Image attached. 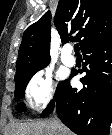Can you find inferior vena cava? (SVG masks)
I'll return each instance as SVG.
<instances>
[{
	"label": "inferior vena cava",
	"instance_id": "1",
	"mask_svg": "<svg viewBox=\"0 0 112 135\" xmlns=\"http://www.w3.org/2000/svg\"><path fill=\"white\" fill-rule=\"evenodd\" d=\"M52 121H53V125H54V127H56V128H60L61 123H60V121L58 120V118H57V117H55Z\"/></svg>",
	"mask_w": 112,
	"mask_h": 135
}]
</instances>
